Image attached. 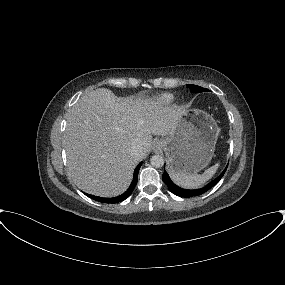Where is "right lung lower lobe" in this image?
<instances>
[{
	"instance_id": "obj_1",
	"label": "right lung lower lobe",
	"mask_w": 285,
	"mask_h": 285,
	"mask_svg": "<svg viewBox=\"0 0 285 285\" xmlns=\"http://www.w3.org/2000/svg\"><path fill=\"white\" fill-rule=\"evenodd\" d=\"M141 164H142V162L139 163L138 166L135 168L132 183H131L130 187L127 189V191H125V193H123L122 195H119V196L113 197V198H103V197H98V196L89 195V194H86V195L89 198L96 200V201H99L101 203H119V202L125 200L126 198H128L130 196V194L133 192V190L137 184L138 172H139Z\"/></svg>"
}]
</instances>
